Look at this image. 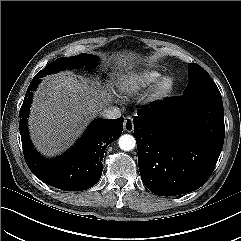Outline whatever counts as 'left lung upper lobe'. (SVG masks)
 <instances>
[{
    "label": "left lung upper lobe",
    "instance_id": "left-lung-upper-lobe-1",
    "mask_svg": "<svg viewBox=\"0 0 241 241\" xmlns=\"http://www.w3.org/2000/svg\"><path fill=\"white\" fill-rule=\"evenodd\" d=\"M210 94L221 96L218 87L210 75L198 64H189V82L182 96Z\"/></svg>",
    "mask_w": 241,
    "mask_h": 241
}]
</instances>
